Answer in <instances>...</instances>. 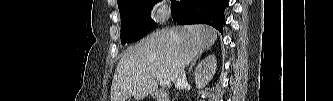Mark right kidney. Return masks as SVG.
Segmentation results:
<instances>
[{"label": "right kidney", "instance_id": "ca27d5eb", "mask_svg": "<svg viewBox=\"0 0 333 101\" xmlns=\"http://www.w3.org/2000/svg\"><path fill=\"white\" fill-rule=\"evenodd\" d=\"M216 66V57L214 54L207 56L198 64L195 70V81L199 87H205L213 78Z\"/></svg>", "mask_w": 333, "mask_h": 101}]
</instances>
